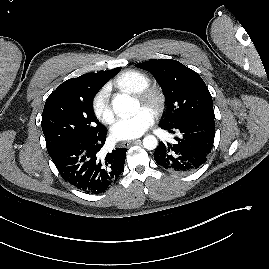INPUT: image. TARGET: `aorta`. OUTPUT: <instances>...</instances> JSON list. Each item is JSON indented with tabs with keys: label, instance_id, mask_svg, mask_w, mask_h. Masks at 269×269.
Masks as SVG:
<instances>
[{
	"label": "aorta",
	"instance_id": "1",
	"mask_svg": "<svg viewBox=\"0 0 269 269\" xmlns=\"http://www.w3.org/2000/svg\"><path fill=\"white\" fill-rule=\"evenodd\" d=\"M114 112L121 118H128L134 115L139 109V101L128 94H120L112 100ZM158 141L155 136L148 135L143 139L145 149L153 150L157 147Z\"/></svg>",
	"mask_w": 269,
	"mask_h": 269
}]
</instances>
